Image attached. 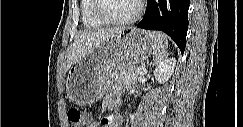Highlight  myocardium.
<instances>
[{
	"label": "myocardium",
	"mask_w": 243,
	"mask_h": 127,
	"mask_svg": "<svg viewBox=\"0 0 243 127\" xmlns=\"http://www.w3.org/2000/svg\"><path fill=\"white\" fill-rule=\"evenodd\" d=\"M95 2V15L96 17L101 20L103 23L108 25H124V24H130L135 22L141 15L143 11V2L141 0H136V9L134 13L128 17L121 18V19H115L107 16L102 8V0H94Z\"/></svg>",
	"instance_id": "myocardium-1"
}]
</instances>
